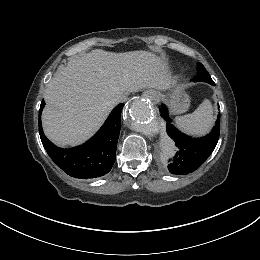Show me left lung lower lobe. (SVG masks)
<instances>
[{
	"label": "left lung lower lobe",
	"mask_w": 260,
	"mask_h": 260,
	"mask_svg": "<svg viewBox=\"0 0 260 260\" xmlns=\"http://www.w3.org/2000/svg\"><path fill=\"white\" fill-rule=\"evenodd\" d=\"M160 113L167 122L166 131L177 147V151L168 164V169L172 174L185 175L199 168L211 155L219 139L220 115H218L216 125L210 134L202 138H192L181 133L171 124V120L166 105H162Z\"/></svg>",
	"instance_id": "0a47b994"
}]
</instances>
